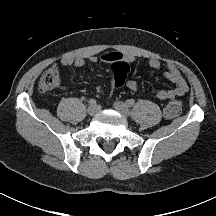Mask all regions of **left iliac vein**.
I'll return each instance as SVG.
<instances>
[{"label": "left iliac vein", "mask_w": 216, "mask_h": 216, "mask_svg": "<svg viewBox=\"0 0 216 216\" xmlns=\"http://www.w3.org/2000/svg\"><path fill=\"white\" fill-rule=\"evenodd\" d=\"M113 106H114L115 110L118 111L124 117H128L130 115V110L125 103L120 102V101H116V102H114Z\"/></svg>", "instance_id": "left-iliac-vein-1"}]
</instances>
